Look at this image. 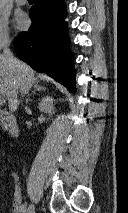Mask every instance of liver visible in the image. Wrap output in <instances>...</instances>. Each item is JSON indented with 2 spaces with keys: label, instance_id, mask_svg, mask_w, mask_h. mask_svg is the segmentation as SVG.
Returning a JSON list of instances; mask_svg holds the SVG:
<instances>
[{
  "label": "liver",
  "instance_id": "1",
  "mask_svg": "<svg viewBox=\"0 0 128 213\" xmlns=\"http://www.w3.org/2000/svg\"><path fill=\"white\" fill-rule=\"evenodd\" d=\"M15 60L13 65L0 54V94L8 99L11 113L18 109V93L27 94L36 83L34 70L23 61Z\"/></svg>",
  "mask_w": 128,
  "mask_h": 213
}]
</instances>
